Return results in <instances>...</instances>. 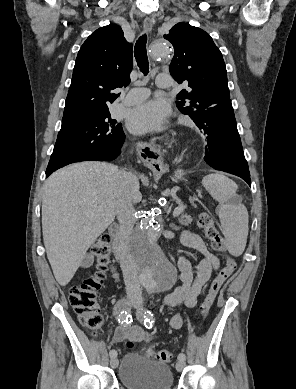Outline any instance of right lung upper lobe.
Segmentation results:
<instances>
[{
    "mask_svg": "<svg viewBox=\"0 0 296 389\" xmlns=\"http://www.w3.org/2000/svg\"><path fill=\"white\" fill-rule=\"evenodd\" d=\"M132 65V44L121 27L97 29L78 52L63 117L107 110L119 95L113 91L130 83Z\"/></svg>",
    "mask_w": 296,
    "mask_h": 389,
    "instance_id": "cb5924a9",
    "label": "right lung upper lobe"
}]
</instances>
